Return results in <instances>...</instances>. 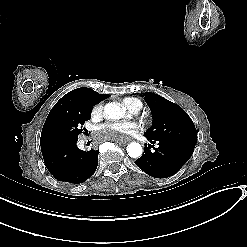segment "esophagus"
Segmentation results:
<instances>
[{"mask_svg":"<svg viewBox=\"0 0 247 247\" xmlns=\"http://www.w3.org/2000/svg\"><path fill=\"white\" fill-rule=\"evenodd\" d=\"M133 142V144H137L138 146H141L143 144V141L141 139H129L128 143Z\"/></svg>","mask_w":247,"mask_h":247,"instance_id":"34e87169","label":"esophagus"}]
</instances>
